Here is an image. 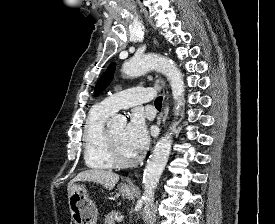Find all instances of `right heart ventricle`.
Returning <instances> with one entry per match:
<instances>
[{"mask_svg":"<svg viewBox=\"0 0 275 224\" xmlns=\"http://www.w3.org/2000/svg\"><path fill=\"white\" fill-rule=\"evenodd\" d=\"M111 113L100 105L93 107L83 128V156L85 164L95 170H110L114 165L104 145L105 122Z\"/></svg>","mask_w":275,"mask_h":224,"instance_id":"1","label":"right heart ventricle"}]
</instances>
